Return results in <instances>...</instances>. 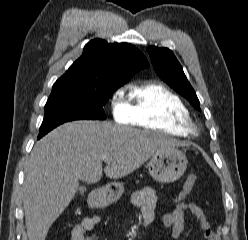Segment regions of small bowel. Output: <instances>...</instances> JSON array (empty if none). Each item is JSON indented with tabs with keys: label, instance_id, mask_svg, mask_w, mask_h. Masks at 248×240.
Segmentation results:
<instances>
[{
	"label": "small bowel",
	"instance_id": "small-bowel-1",
	"mask_svg": "<svg viewBox=\"0 0 248 240\" xmlns=\"http://www.w3.org/2000/svg\"><path fill=\"white\" fill-rule=\"evenodd\" d=\"M158 196L155 190L145 186L136 191L132 196L134 205L140 207L144 225H150L156 220V203ZM189 211L197 220L203 236L207 240H217V236L209 225L207 218L200 206L195 203L179 202L176 207L165 214L162 218V224L165 228L171 230L172 238L178 240L184 229V214ZM99 222L98 216L84 218L76 224L71 231V240H96L87 237L86 232L92 229Z\"/></svg>",
	"mask_w": 248,
	"mask_h": 240
}]
</instances>
